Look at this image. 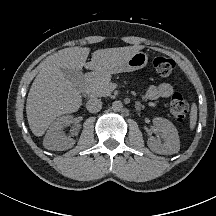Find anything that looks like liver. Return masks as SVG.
Masks as SVG:
<instances>
[{
	"label": "liver",
	"mask_w": 216,
	"mask_h": 216,
	"mask_svg": "<svg viewBox=\"0 0 216 216\" xmlns=\"http://www.w3.org/2000/svg\"><path fill=\"white\" fill-rule=\"evenodd\" d=\"M143 49L127 46L96 50L86 63L90 48H65L49 56L30 88L26 114L32 133L39 137L63 114L76 112L82 103L77 86L67 80L61 69L100 70L114 67Z\"/></svg>",
	"instance_id": "6515ba94"
}]
</instances>
